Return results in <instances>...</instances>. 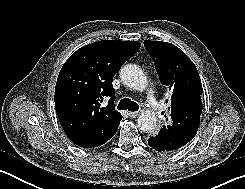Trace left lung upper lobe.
<instances>
[{"label":"left lung upper lobe","mask_w":245,"mask_h":189,"mask_svg":"<svg viewBox=\"0 0 245 189\" xmlns=\"http://www.w3.org/2000/svg\"><path fill=\"white\" fill-rule=\"evenodd\" d=\"M144 45L153 59L161 84L172 92L167 124L156 136L177 150L197 133L202 112L201 80L194 63L175 45L149 40H145Z\"/></svg>","instance_id":"1"}]
</instances>
